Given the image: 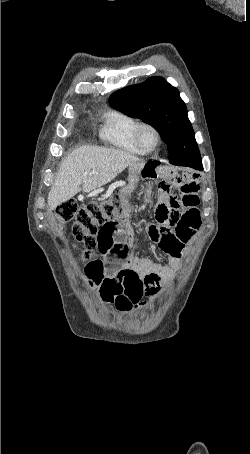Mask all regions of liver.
<instances>
[{"mask_svg":"<svg viewBox=\"0 0 250 454\" xmlns=\"http://www.w3.org/2000/svg\"><path fill=\"white\" fill-rule=\"evenodd\" d=\"M143 164L138 157L123 150L79 147L61 163L48 195V207L50 210L55 209L81 190L91 193L111 182L126 167Z\"/></svg>","mask_w":250,"mask_h":454,"instance_id":"obj_1","label":"liver"}]
</instances>
